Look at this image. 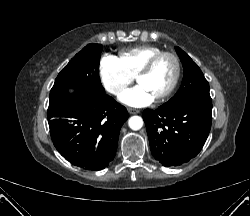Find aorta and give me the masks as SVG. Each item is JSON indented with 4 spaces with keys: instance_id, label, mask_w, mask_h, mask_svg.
Masks as SVG:
<instances>
[{
    "instance_id": "obj_1",
    "label": "aorta",
    "mask_w": 250,
    "mask_h": 216,
    "mask_svg": "<svg viewBox=\"0 0 250 216\" xmlns=\"http://www.w3.org/2000/svg\"><path fill=\"white\" fill-rule=\"evenodd\" d=\"M128 125L132 130H139L143 126V119L140 116H132L129 118Z\"/></svg>"
}]
</instances>
